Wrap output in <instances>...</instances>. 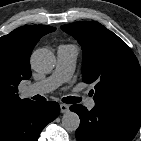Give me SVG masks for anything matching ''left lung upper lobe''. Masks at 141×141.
Wrapping results in <instances>:
<instances>
[{
    "instance_id": "5c2ea615",
    "label": "left lung upper lobe",
    "mask_w": 141,
    "mask_h": 141,
    "mask_svg": "<svg viewBox=\"0 0 141 141\" xmlns=\"http://www.w3.org/2000/svg\"><path fill=\"white\" fill-rule=\"evenodd\" d=\"M83 46L82 78L96 105L141 117V68L132 50L95 21L62 25Z\"/></svg>"
}]
</instances>
